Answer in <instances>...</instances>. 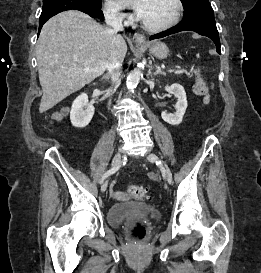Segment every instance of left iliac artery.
<instances>
[{"mask_svg":"<svg viewBox=\"0 0 261 273\" xmlns=\"http://www.w3.org/2000/svg\"><path fill=\"white\" fill-rule=\"evenodd\" d=\"M156 164L159 165V166L161 167V169L163 170V167H162V164H161L160 161H159V162H156Z\"/></svg>","mask_w":261,"mask_h":273,"instance_id":"44dca946","label":"left iliac artery"}]
</instances>
